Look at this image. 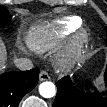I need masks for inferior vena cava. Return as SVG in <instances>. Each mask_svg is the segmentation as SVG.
Masks as SVG:
<instances>
[{"label":"inferior vena cava","mask_w":107,"mask_h":107,"mask_svg":"<svg viewBox=\"0 0 107 107\" xmlns=\"http://www.w3.org/2000/svg\"><path fill=\"white\" fill-rule=\"evenodd\" d=\"M15 66L22 71L30 70L33 68V63L29 58H15Z\"/></svg>","instance_id":"inferior-vena-cava-1"}]
</instances>
